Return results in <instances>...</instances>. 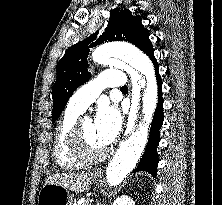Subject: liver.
Masks as SVG:
<instances>
[{
	"mask_svg": "<svg viewBox=\"0 0 222 205\" xmlns=\"http://www.w3.org/2000/svg\"><path fill=\"white\" fill-rule=\"evenodd\" d=\"M92 173H63L50 176L45 184H57L75 192H83L89 189Z\"/></svg>",
	"mask_w": 222,
	"mask_h": 205,
	"instance_id": "obj_1",
	"label": "liver"
}]
</instances>
